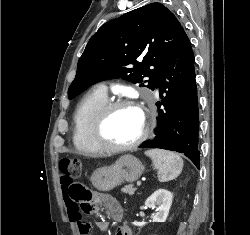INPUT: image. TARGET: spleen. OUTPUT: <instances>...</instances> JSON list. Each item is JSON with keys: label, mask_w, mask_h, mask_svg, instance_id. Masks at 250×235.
Here are the masks:
<instances>
[{"label": "spleen", "mask_w": 250, "mask_h": 235, "mask_svg": "<svg viewBox=\"0 0 250 235\" xmlns=\"http://www.w3.org/2000/svg\"><path fill=\"white\" fill-rule=\"evenodd\" d=\"M150 157L154 167L157 169V176L160 182H167L179 176L183 168L182 158L171 151L151 149L145 152Z\"/></svg>", "instance_id": "obj_1"}]
</instances>
